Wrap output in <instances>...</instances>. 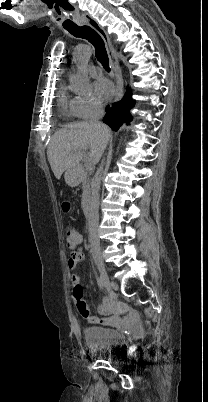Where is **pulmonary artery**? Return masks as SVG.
I'll return each mask as SVG.
<instances>
[{
	"mask_svg": "<svg viewBox=\"0 0 208 402\" xmlns=\"http://www.w3.org/2000/svg\"><path fill=\"white\" fill-rule=\"evenodd\" d=\"M83 51H84V49L81 48L79 54H82ZM97 71H98V68H97L96 66L91 65V66L88 67V72H89L90 74H96ZM99 73H102V70H99Z\"/></svg>",
	"mask_w": 208,
	"mask_h": 402,
	"instance_id": "1",
	"label": "pulmonary artery"
}]
</instances>
